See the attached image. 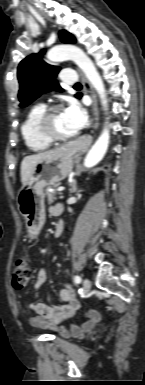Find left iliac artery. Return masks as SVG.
Instances as JSON below:
<instances>
[{"label":"left iliac artery","instance_id":"obj_1","mask_svg":"<svg viewBox=\"0 0 145 385\" xmlns=\"http://www.w3.org/2000/svg\"><path fill=\"white\" fill-rule=\"evenodd\" d=\"M74 282H75L76 284H79V283L81 282V277L78 276V275H76V276L74 277Z\"/></svg>","mask_w":145,"mask_h":385}]
</instances>
